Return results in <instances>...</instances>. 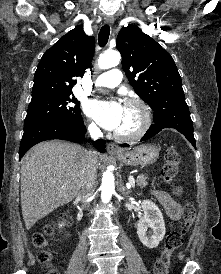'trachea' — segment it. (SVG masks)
Returning <instances> with one entry per match:
<instances>
[{"mask_svg":"<svg viewBox=\"0 0 221 274\" xmlns=\"http://www.w3.org/2000/svg\"><path fill=\"white\" fill-rule=\"evenodd\" d=\"M109 35H110V27L108 25H104L99 32V36H98V42L100 47H104L109 39Z\"/></svg>","mask_w":221,"mask_h":274,"instance_id":"obj_1","label":"trachea"}]
</instances>
